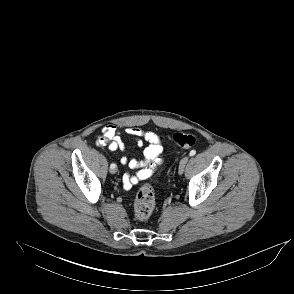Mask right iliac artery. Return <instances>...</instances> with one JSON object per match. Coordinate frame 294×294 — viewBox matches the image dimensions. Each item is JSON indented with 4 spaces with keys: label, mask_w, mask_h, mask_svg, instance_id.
I'll list each match as a JSON object with an SVG mask.
<instances>
[{
    "label": "right iliac artery",
    "mask_w": 294,
    "mask_h": 294,
    "mask_svg": "<svg viewBox=\"0 0 294 294\" xmlns=\"http://www.w3.org/2000/svg\"><path fill=\"white\" fill-rule=\"evenodd\" d=\"M110 167H111V168H114V167H116V165H115L114 163H112V164L110 165Z\"/></svg>",
    "instance_id": "obj_1"
}]
</instances>
